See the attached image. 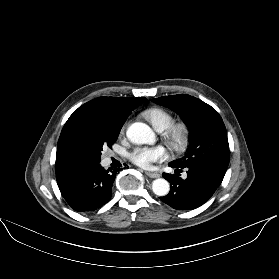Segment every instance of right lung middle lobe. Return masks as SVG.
<instances>
[{
    "mask_svg": "<svg viewBox=\"0 0 279 279\" xmlns=\"http://www.w3.org/2000/svg\"><path fill=\"white\" fill-rule=\"evenodd\" d=\"M122 126L95 124L84 128L75 138L73 150L78 163L101 161L103 146L111 147L118 138Z\"/></svg>",
    "mask_w": 279,
    "mask_h": 279,
    "instance_id": "right-lung-middle-lobe-1",
    "label": "right lung middle lobe"
}]
</instances>
